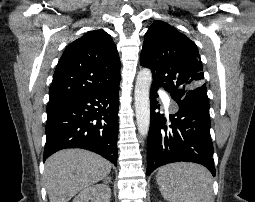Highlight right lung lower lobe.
Here are the masks:
<instances>
[{"instance_id":"obj_1","label":"right lung lower lobe","mask_w":255,"mask_h":202,"mask_svg":"<svg viewBox=\"0 0 255 202\" xmlns=\"http://www.w3.org/2000/svg\"><path fill=\"white\" fill-rule=\"evenodd\" d=\"M118 91L114 86L49 101L43 160L65 148H83L117 165Z\"/></svg>"}]
</instances>
